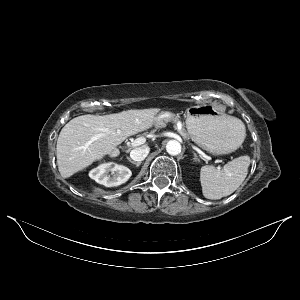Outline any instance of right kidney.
I'll use <instances>...</instances> for the list:
<instances>
[{
    "instance_id": "right-kidney-1",
    "label": "right kidney",
    "mask_w": 300,
    "mask_h": 300,
    "mask_svg": "<svg viewBox=\"0 0 300 300\" xmlns=\"http://www.w3.org/2000/svg\"><path fill=\"white\" fill-rule=\"evenodd\" d=\"M131 174L129 168L109 162L92 169L89 176L99 184L114 187L125 183L131 177Z\"/></svg>"
}]
</instances>
